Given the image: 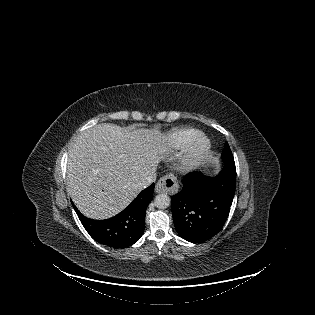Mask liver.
I'll return each instance as SVG.
<instances>
[{
	"instance_id": "obj_1",
	"label": "liver",
	"mask_w": 315,
	"mask_h": 315,
	"mask_svg": "<svg viewBox=\"0 0 315 315\" xmlns=\"http://www.w3.org/2000/svg\"><path fill=\"white\" fill-rule=\"evenodd\" d=\"M170 150L157 129L102 123L82 132L68 152L67 191L93 219L110 218L143 190Z\"/></svg>"
}]
</instances>
